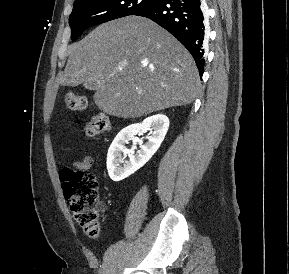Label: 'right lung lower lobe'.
I'll return each instance as SVG.
<instances>
[{
  "label": "right lung lower lobe",
  "mask_w": 289,
  "mask_h": 274,
  "mask_svg": "<svg viewBox=\"0 0 289 274\" xmlns=\"http://www.w3.org/2000/svg\"><path fill=\"white\" fill-rule=\"evenodd\" d=\"M203 0H155L135 14L149 18L174 35L193 56L203 74L205 22Z\"/></svg>",
  "instance_id": "1"
}]
</instances>
